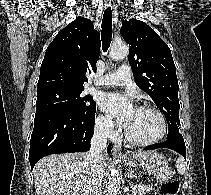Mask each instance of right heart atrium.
Segmentation results:
<instances>
[{
  "label": "right heart atrium",
  "mask_w": 211,
  "mask_h": 195,
  "mask_svg": "<svg viewBox=\"0 0 211 195\" xmlns=\"http://www.w3.org/2000/svg\"><path fill=\"white\" fill-rule=\"evenodd\" d=\"M97 130L105 136H116V124L113 119L107 114H101L96 119Z\"/></svg>",
  "instance_id": "d8ad5b80"
}]
</instances>
